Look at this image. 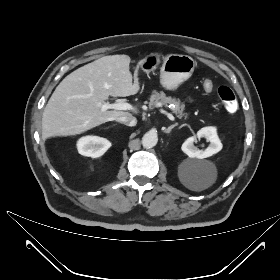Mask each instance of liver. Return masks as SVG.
I'll return each instance as SVG.
<instances>
[{"mask_svg": "<svg viewBox=\"0 0 280 280\" xmlns=\"http://www.w3.org/2000/svg\"><path fill=\"white\" fill-rule=\"evenodd\" d=\"M128 55L104 56L66 76L50 97L42 116V137L81 134L121 116H133L128 111H102L98 103L109 96L126 97L140 90L138 78L140 60L132 77ZM134 79V81H133Z\"/></svg>", "mask_w": 280, "mask_h": 280, "instance_id": "liver-1", "label": "liver"}]
</instances>
